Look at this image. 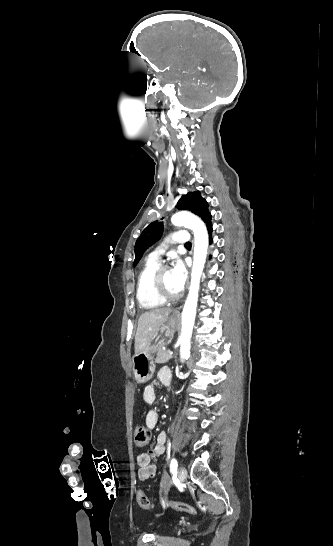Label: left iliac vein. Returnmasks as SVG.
I'll list each match as a JSON object with an SVG mask.
<instances>
[{
	"label": "left iliac vein",
	"mask_w": 333,
	"mask_h": 546,
	"mask_svg": "<svg viewBox=\"0 0 333 546\" xmlns=\"http://www.w3.org/2000/svg\"><path fill=\"white\" fill-rule=\"evenodd\" d=\"M178 477L181 481H184L187 477V470L184 466H180L178 470Z\"/></svg>",
	"instance_id": "4c4485c4"
}]
</instances>
